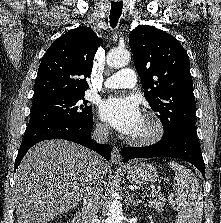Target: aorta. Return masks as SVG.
<instances>
[{
	"mask_svg": "<svg viewBox=\"0 0 221 223\" xmlns=\"http://www.w3.org/2000/svg\"><path fill=\"white\" fill-rule=\"evenodd\" d=\"M130 61V53L127 50H112L107 54L106 63L111 68H120L126 66ZM123 210L122 204L114 198L111 201L108 211V223H122Z\"/></svg>",
	"mask_w": 221,
	"mask_h": 223,
	"instance_id": "1",
	"label": "aorta"
}]
</instances>
